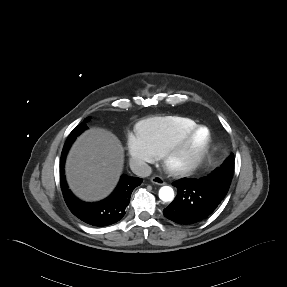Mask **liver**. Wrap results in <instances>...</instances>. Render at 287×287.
I'll use <instances>...</instances> for the list:
<instances>
[{"label": "liver", "instance_id": "1", "mask_svg": "<svg viewBox=\"0 0 287 287\" xmlns=\"http://www.w3.org/2000/svg\"><path fill=\"white\" fill-rule=\"evenodd\" d=\"M123 163L119 139L105 129L91 128L78 137L68 154L65 170L69 187L83 200H100L116 186Z\"/></svg>", "mask_w": 287, "mask_h": 287}]
</instances>
